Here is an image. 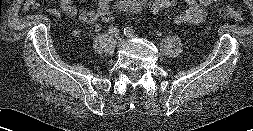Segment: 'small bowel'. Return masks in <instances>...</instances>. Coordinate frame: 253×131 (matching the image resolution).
I'll use <instances>...</instances> for the list:
<instances>
[{"label": "small bowel", "mask_w": 253, "mask_h": 131, "mask_svg": "<svg viewBox=\"0 0 253 131\" xmlns=\"http://www.w3.org/2000/svg\"><path fill=\"white\" fill-rule=\"evenodd\" d=\"M187 9L177 15L174 18V22L177 25L185 24L190 26H198L201 24L208 16V7L215 4L218 0H184ZM111 0H99L97 6L93 10L81 9L79 10L73 0H60L61 10L69 18H78L82 23L92 25L94 32H99L101 30V25L98 23L101 19V14L109 10ZM35 5L33 0H27L24 4V9L27 10ZM49 13L55 17H59L61 12L52 8ZM81 31L79 28L72 30L74 36L80 35Z\"/></svg>", "instance_id": "small-bowel-1"}]
</instances>
